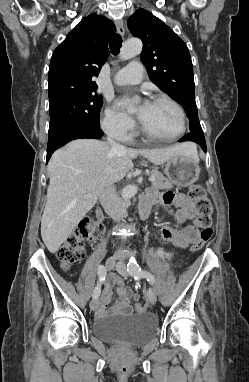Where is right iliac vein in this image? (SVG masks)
I'll return each mask as SVG.
<instances>
[{
  "label": "right iliac vein",
  "mask_w": 249,
  "mask_h": 382,
  "mask_svg": "<svg viewBox=\"0 0 249 382\" xmlns=\"http://www.w3.org/2000/svg\"><path fill=\"white\" fill-rule=\"evenodd\" d=\"M115 264H116V257L115 256L108 258L105 262L106 269L107 270L113 269ZM97 306H98V299L93 298L90 302V309L95 310L97 308Z\"/></svg>",
  "instance_id": "right-iliac-vein-1"
}]
</instances>
